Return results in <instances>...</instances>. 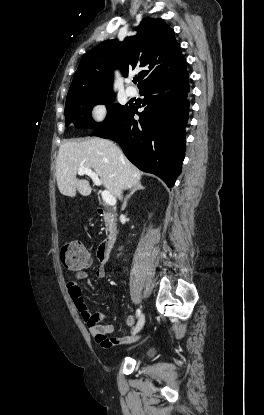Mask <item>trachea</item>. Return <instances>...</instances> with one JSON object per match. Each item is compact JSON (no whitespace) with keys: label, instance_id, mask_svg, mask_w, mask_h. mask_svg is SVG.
<instances>
[{"label":"trachea","instance_id":"obj_1","mask_svg":"<svg viewBox=\"0 0 264 415\" xmlns=\"http://www.w3.org/2000/svg\"><path fill=\"white\" fill-rule=\"evenodd\" d=\"M133 82H134V83H137V82H138V79H134V80H133Z\"/></svg>","mask_w":264,"mask_h":415}]
</instances>
